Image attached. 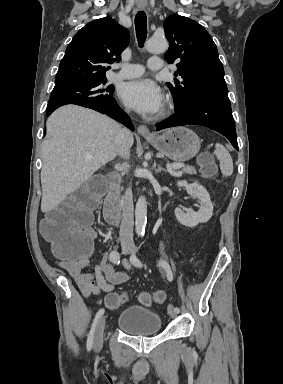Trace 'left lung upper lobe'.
Masks as SVG:
<instances>
[{"mask_svg":"<svg viewBox=\"0 0 283 384\" xmlns=\"http://www.w3.org/2000/svg\"><path fill=\"white\" fill-rule=\"evenodd\" d=\"M163 26L170 43L165 59L168 63L179 62L174 75L183 79L167 83L175 107L180 110L199 99L228 97L223 65L205 28L180 15L169 16Z\"/></svg>","mask_w":283,"mask_h":384,"instance_id":"obj_1","label":"left lung upper lobe"}]
</instances>
